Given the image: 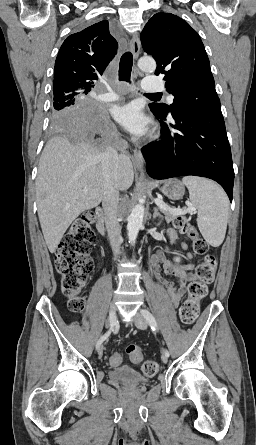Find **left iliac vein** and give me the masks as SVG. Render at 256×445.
<instances>
[{"label": "left iliac vein", "mask_w": 256, "mask_h": 445, "mask_svg": "<svg viewBox=\"0 0 256 445\" xmlns=\"http://www.w3.org/2000/svg\"><path fill=\"white\" fill-rule=\"evenodd\" d=\"M134 323H135V325H136V327H137L138 329L145 330V329L147 328V324H146V321H145L144 316H143V314H142V311H140V312L136 315ZM161 359H162V361H163L164 363H167V362H168V357H167L164 353H162V355H161Z\"/></svg>", "instance_id": "1"}]
</instances>
